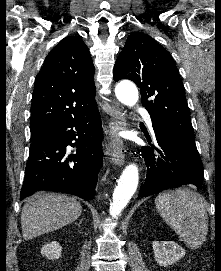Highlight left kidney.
Returning <instances> with one entry per match:
<instances>
[{"label":"left kidney","mask_w":221,"mask_h":271,"mask_svg":"<svg viewBox=\"0 0 221 271\" xmlns=\"http://www.w3.org/2000/svg\"><path fill=\"white\" fill-rule=\"evenodd\" d=\"M152 247L159 265H172L185 255V249L176 241H152Z\"/></svg>","instance_id":"1"}]
</instances>
